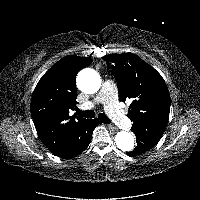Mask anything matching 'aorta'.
<instances>
[{
	"label": "aorta",
	"instance_id": "obj_1",
	"mask_svg": "<svg viewBox=\"0 0 200 200\" xmlns=\"http://www.w3.org/2000/svg\"><path fill=\"white\" fill-rule=\"evenodd\" d=\"M77 85L82 92L94 94L101 87V79L95 70L85 68L77 76ZM115 142L117 147L124 152L131 151L134 148V137L126 131L118 132L115 136Z\"/></svg>",
	"mask_w": 200,
	"mask_h": 200
}]
</instances>
